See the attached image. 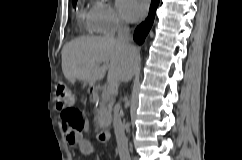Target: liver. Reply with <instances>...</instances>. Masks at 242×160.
Segmentation results:
<instances>
[{"mask_svg": "<svg viewBox=\"0 0 242 160\" xmlns=\"http://www.w3.org/2000/svg\"><path fill=\"white\" fill-rule=\"evenodd\" d=\"M123 50L125 47L113 37L76 38L62 49L63 74L72 84L76 80L95 84L96 81L104 78L106 74L104 67L108 64L107 82L109 89L114 93L122 82L118 81V63H121ZM134 74L132 73L133 76Z\"/></svg>", "mask_w": 242, "mask_h": 160, "instance_id": "1", "label": "liver"}]
</instances>
